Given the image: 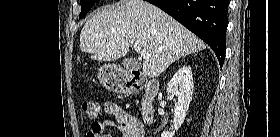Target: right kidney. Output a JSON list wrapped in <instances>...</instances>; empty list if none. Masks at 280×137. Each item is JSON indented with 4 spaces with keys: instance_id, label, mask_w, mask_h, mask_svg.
<instances>
[{
    "instance_id": "right-kidney-1",
    "label": "right kidney",
    "mask_w": 280,
    "mask_h": 137,
    "mask_svg": "<svg viewBox=\"0 0 280 137\" xmlns=\"http://www.w3.org/2000/svg\"><path fill=\"white\" fill-rule=\"evenodd\" d=\"M194 89L192 71L190 66H183L172 77L167 85V92L178 97L174 108V128L177 131L183 124L187 115ZM173 132L162 133V137H173Z\"/></svg>"
}]
</instances>
